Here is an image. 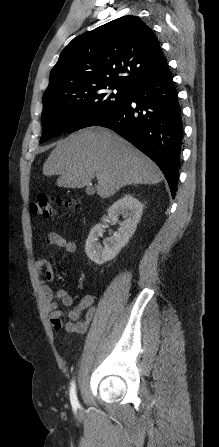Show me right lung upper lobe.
Segmentation results:
<instances>
[{"label": "right lung upper lobe", "mask_w": 219, "mask_h": 447, "mask_svg": "<svg viewBox=\"0 0 219 447\" xmlns=\"http://www.w3.org/2000/svg\"><path fill=\"white\" fill-rule=\"evenodd\" d=\"M167 71L152 29L138 17L123 16L75 37L64 48L43 97L83 94L104 85L132 92Z\"/></svg>", "instance_id": "obj_1"}]
</instances>
